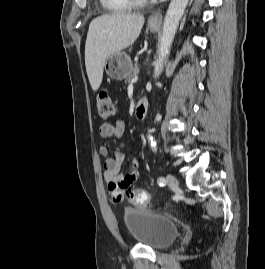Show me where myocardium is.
Returning <instances> with one entry per match:
<instances>
[{"mask_svg": "<svg viewBox=\"0 0 265 269\" xmlns=\"http://www.w3.org/2000/svg\"><path fill=\"white\" fill-rule=\"evenodd\" d=\"M132 6L144 7L151 4L154 0H128Z\"/></svg>", "mask_w": 265, "mask_h": 269, "instance_id": "1", "label": "myocardium"}]
</instances>
